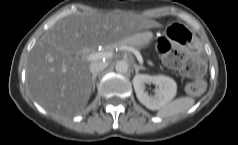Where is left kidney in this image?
<instances>
[{
    "instance_id": "obj_1",
    "label": "left kidney",
    "mask_w": 238,
    "mask_h": 145,
    "mask_svg": "<svg viewBox=\"0 0 238 145\" xmlns=\"http://www.w3.org/2000/svg\"><path fill=\"white\" fill-rule=\"evenodd\" d=\"M154 84L158 87L154 95H149L145 91V84ZM133 86L138 100L150 110H159L170 100L177 92L176 82L164 75L150 76L146 74H137L133 78Z\"/></svg>"
}]
</instances>
